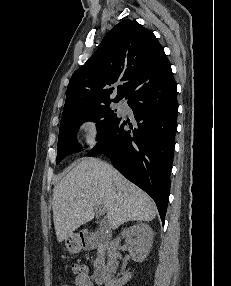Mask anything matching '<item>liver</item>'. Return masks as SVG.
I'll return each instance as SVG.
<instances>
[{
    "label": "liver",
    "mask_w": 231,
    "mask_h": 286,
    "mask_svg": "<svg viewBox=\"0 0 231 286\" xmlns=\"http://www.w3.org/2000/svg\"><path fill=\"white\" fill-rule=\"evenodd\" d=\"M103 207L112 229L128 221H152L156 205L151 197L110 164L82 158L53 190V222L60 243L94 218Z\"/></svg>",
    "instance_id": "liver-1"
}]
</instances>
